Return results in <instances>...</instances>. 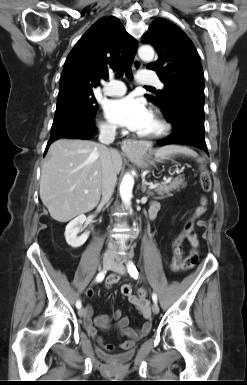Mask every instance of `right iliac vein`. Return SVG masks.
<instances>
[{"instance_id": "63e3f726", "label": "right iliac vein", "mask_w": 247, "mask_h": 385, "mask_svg": "<svg viewBox=\"0 0 247 385\" xmlns=\"http://www.w3.org/2000/svg\"><path fill=\"white\" fill-rule=\"evenodd\" d=\"M112 264H113V259L112 258H110V257H106V258H104L103 259V263H102V265H103V270H108V269H110L111 268V266H112ZM78 315H79V317H85V315H86V310H85V308H80L79 310H78Z\"/></svg>"}]
</instances>
